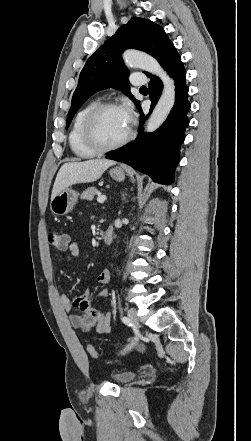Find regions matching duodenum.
Instances as JSON below:
<instances>
[{
  "instance_id": "obj_1",
  "label": "duodenum",
  "mask_w": 251,
  "mask_h": 441,
  "mask_svg": "<svg viewBox=\"0 0 251 441\" xmlns=\"http://www.w3.org/2000/svg\"><path fill=\"white\" fill-rule=\"evenodd\" d=\"M114 231L113 227L109 226L102 235V240L105 244H110L113 241Z\"/></svg>"
}]
</instances>
